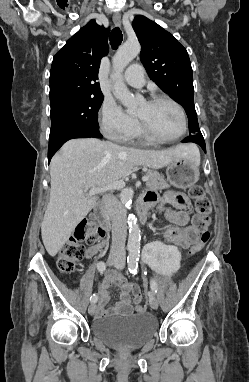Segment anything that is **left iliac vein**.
Segmentation results:
<instances>
[{
	"instance_id": "obj_1",
	"label": "left iliac vein",
	"mask_w": 249,
	"mask_h": 382,
	"mask_svg": "<svg viewBox=\"0 0 249 382\" xmlns=\"http://www.w3.org/2000/svg\"><path fill=\"white\" fill-rule=\"evenodd\" d=\"M125 265V257H121L119 262L115 264V267L119 270L123 269ZM149 303L152 309H157L159 306L158 300L154 295H150Z\"/></svg>"
}]
</instances>
